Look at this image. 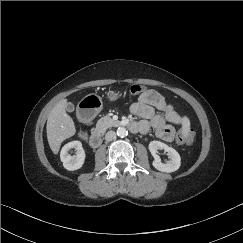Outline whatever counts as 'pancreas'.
Returning a JSON list of instances; mask_svg holds the SVG:
<instances>
[{
    "instance_id": "cf45deb5",
    "label": "pancreas",
    "mask_w": 243,
    "mask_h": 243,
    "mask_svg": "<svg viewBox=\"0 0 243 243\" xmlns=\"http://www.w3.org/2000/svg\"><path fill=\"white\" fill-rule=\"evenodd\" d=\"M115 124V121L111 117L104 116L98 120L95 130L100 133H104L108 128L114 126Z\"/></svg>"
}]
</instances>
